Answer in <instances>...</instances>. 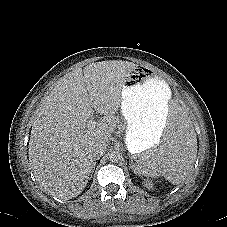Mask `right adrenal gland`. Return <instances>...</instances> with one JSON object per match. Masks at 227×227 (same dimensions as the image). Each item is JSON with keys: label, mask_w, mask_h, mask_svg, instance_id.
I'll use <instances>...</instances> for the list:
<instances>
[{"label": "right adrenal gland", "mask_w": 227, "mask_h": 227, "mask_svg": "<svg viewBox=\"0 0 227 227\" xmlns=\"http://www.w3.org/2000/svg\"><path fill=\"white\" fill-rule=\"evenodd\" d=\"M97 160H99V158H95V159H94L92 173H93V172H94V170H95V166H96V161H97Z\"/></svg>", "instance_id": "1"}]
</instances>
